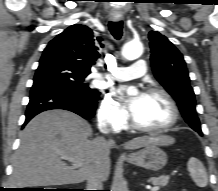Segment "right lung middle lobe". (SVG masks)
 <instances>
[{
	"instance_id": "dd1d6c3e",
	"label": "right lung middle lobe",
	"mask_w": 218,
	"mask_h": 191,
	"mask_svg": "<svg viewBox=\"0 0 218 191\" xmlns=\"http://www.w3.org/2000/svg\"><path fill=\"white\" fill-rule=\"evenodd\" d=\"M88 74L73 68L68 63L57 58L41 57L34 82L41 80L55 81L87 96L99 95L96 89L89 87L88 83L84 82Z\"/></svg>"
}]
</instances>
